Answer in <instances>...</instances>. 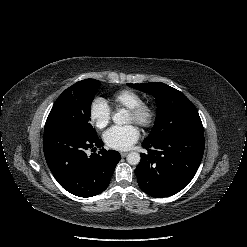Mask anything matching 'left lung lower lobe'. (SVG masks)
<instances>
[{
  "mask_svg": "<svg viewBox=\"0 0 247 247\" xmlns=\"http://www.w3.org/2000/svg\"><path fill=\"white\" fill-rule=\"evenodd\" d=\"M205 138L173 136L162 141H145L147 153L135 169L138 185L146 194L172 196L186 187L201 163Z\"/></svg>",
  "mask_w": 247,
  "mask_h": 247,
  "instance_id": "1",
  "label": "left lung lower lobe"
}]
</instances>
